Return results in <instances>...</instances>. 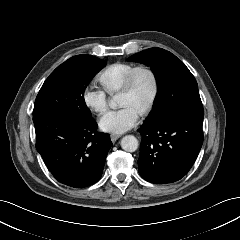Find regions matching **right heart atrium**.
Here are the masks:
<instances>
[{"label": "right heart atrium", "instance_id": "right-heart-atrium-1", "mask_svg": "<svg viewBox=\"0 0 240 240\" xmlns=\"http://www.w3.org/2000/svg\"><path fill=\"white\" fill-rule=\"evenodd\" d=\"M83 101L85 105L97 114L103 113L108 106V98L106 93L101 89L92 86L85 89L83 93Z\"/></svg>", "mask_w": 240, "mask_h": 240}]
</instances>
